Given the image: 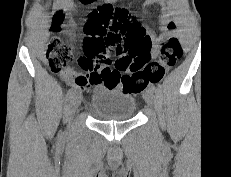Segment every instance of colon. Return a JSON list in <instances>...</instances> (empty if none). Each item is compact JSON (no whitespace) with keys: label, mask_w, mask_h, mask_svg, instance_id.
<instances>
[{"label":"colon","mask_w":231,"mask_h":177,"mask_svg":"<svg viewBox=\"0 0 231 177\" xmlns=\"http://www.w3.org/2000/svg\"><path fill=\"white\" fill-rule=\"evenodd\" d=\"M95 0H80L92 4ZM170 29L175 27L168 23ZM54 31L59 29V19H54ZM83 50L85 57L103 67L102 73L112 84L121 85L130 93L143 91L149 83H159L182 55L177 38H169L162 46L156 60H151V40L145 30L131 21L125 8L102 4L91 12L84 26ZM48 65L53 72L67 70L73 59L72 49L58 36H53L46 52ZM114 59V69L110 65ZM123 73V74H121Z\"/></svg>","instance_id":"colon-1"}]
</instances>
